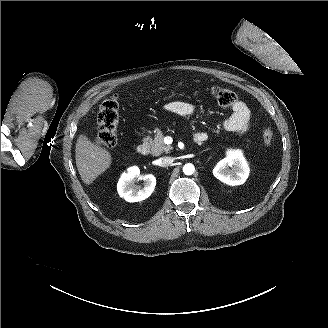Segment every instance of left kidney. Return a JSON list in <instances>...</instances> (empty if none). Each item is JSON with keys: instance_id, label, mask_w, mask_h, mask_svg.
Masks as SVG:
<instances>
[{"instance_id": "obj_1", "label": "left kidney", "mask_w": 328, "mask_h": 328, "mask_svg": "<svg viewBox=\"0 0 328 328\" xmlns=\"http://www.w3.org/2000/svg\"><path fill=\"white\" fill-rule=\"evenodd\" d=\"M249 172L248 163L239 149H228L226 157L220 160L213 169V175L217 179L231 186L245 183Z\"/></svg>"}]
</instances>
